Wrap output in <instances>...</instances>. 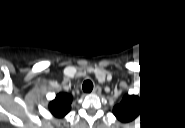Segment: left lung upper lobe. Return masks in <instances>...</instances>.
I'll return each mask as SVG.
<instances>
[{
	"label": "left lung upper lobe",
	"mask_w": 185,
	"mask_h": 128,
	"mask_svg": "<svg viewBox=\"0 0 185 128\" xmlns=\"http://www.w3.org/2000/svg\"><path fill=\"white\" fill-rule=\"evenodd\" d=\"M135 101L131 98L124 99L119 106L115 107V110H118V114L121 117H128L132 114V105Z\"/></svg>",
	"instance_id": "5c2ea615"
}]
</instances>
